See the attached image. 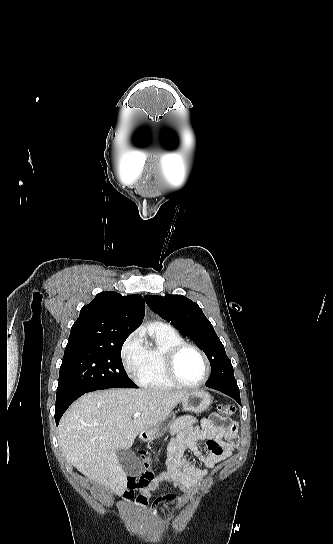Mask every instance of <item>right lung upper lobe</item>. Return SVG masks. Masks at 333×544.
Returning a JSON list of instances; mask_svg holds the SVG:
<instances>
[{
	"instance_id": "1",
	"label": "right lung upper lobe",
	"mask_w": 333,
	"mask_h": 544,
	"mask_svg": "<svg viewBox=\"0 0 333 544\" xmlns=\"http://www.w3.org/2000/svg\"><path fill=\"white\" fill-rule=\"evenodd\" d=\"M144 315L145 303L139 295L99 293L82 307L65 349L107 345L120 336H129L141 325Z\"/></svg>"
}]
</instances>
